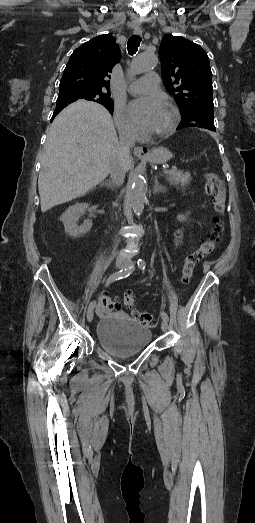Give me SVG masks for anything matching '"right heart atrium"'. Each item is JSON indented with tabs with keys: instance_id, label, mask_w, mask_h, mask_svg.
Returning <instances> with one entry per match:
<instances>
[{
	"instance_id": "1",
	"label": "right heart atrium",
	"mask_w": 255,
	"mask_h": 523,
	"mask_svg": "<svg viewBox=\"0 0 255 523\" xmlns=\"http://www.w3.org/2000/svg\"><path fill=\"white\" fill-rule=\"evenodd\" d=\"M113 117L117 129L123 137L128 139L136 137V129L127 118L123 104L118 103L115 105Z\"/></svg>"
}]
</instances>
